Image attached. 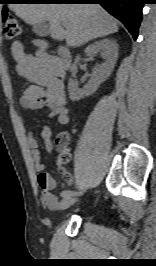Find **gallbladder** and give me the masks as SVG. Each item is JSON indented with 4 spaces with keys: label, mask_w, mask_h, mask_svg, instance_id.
<instances>
[{
    "label": "gallbladder",
    "mask_w": 156,
    "mask_h": 266,
    "mask_svg": "<svg viewBox=\"0 0 156 266\" xmlns=\"http://www.w3.org/2000/svg\"><path fill=\"white\" fill-rule=\"evenodd\" d=\"M33 31L36 35L44 37L50 34V25L48 22H41L33 25Z\"/></svg>",
    "instance_id": "bac80fb5"
}]
</instances>
